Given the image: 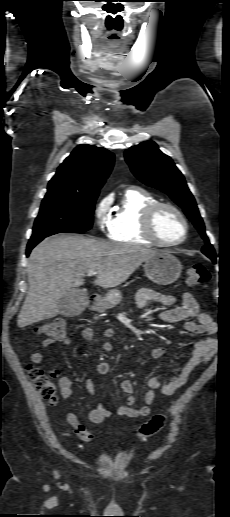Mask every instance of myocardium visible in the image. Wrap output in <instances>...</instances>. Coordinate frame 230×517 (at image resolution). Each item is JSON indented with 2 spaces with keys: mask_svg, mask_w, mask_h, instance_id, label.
Listing matches in <instances>:
<instances>
[{
  "mask_svg": "<svg viewBox=\"0 0 230 517\" xmlns=\"http://www.w3.org/2000/svg\"><path fill=\"white\" fill-rule=\"evenodd\" d=\"M163 209L171 210L182 221V224L184 226V233H183V236L177 241H173V242L164 241L163 239H161L158 236V234L156 232V229H155L156 218H157L159 212ZM143 232L146 235V237L151 239L154 243H156L159 246L174 247V246L180 245L187 239L188 233H189V224H188V221H187L185 215L176 206H174L170 203L156 202V203L150 205L144 212Z\"/></svg>",
  "mask_w": 230,
  "mask_h": 517,
  "instance_id": "obj_1",
  "label": "myocardium"
}]
</instances>
